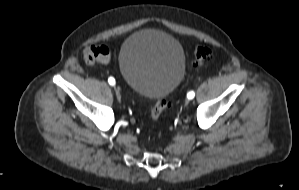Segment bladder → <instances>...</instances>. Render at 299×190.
Segmentation results:
<instances>
[{"instance_id": "bladder-1", "label": "bladder", "mask_w": 299, "mask_h": 190, "mask_svg": "<svg viewBox=\"0 0 299 190\" xmlns=\"http://www.w3.org/2000/svg\"><path fill=\"white\" fill-rule=\"evenodd\" d=\"M119 69L124 81L136 93L163 99L182 81L185 55L179 41L170 34L139 30L122 45Z\"/></svg>"}]
</instances>
